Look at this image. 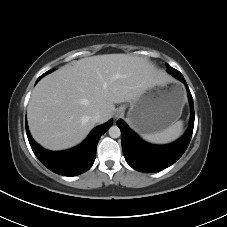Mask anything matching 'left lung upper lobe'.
Instances as JSON below:
<instances>
[{
    "label": "left lung upper lobe",
    "mask_w": 227,
    "mask_h": 227,
    "mask_svg": "<svg viewBox=\"0 0 227 227\" xmlns=\"http://www.w3.org/2000/svg\"><path fill=\"white\" fill-rule=\"evenodd\" d=\"M167 68H168V71L171 72L172 70H176L174 68H172L170 65L166 64Z\"/></svg>",
    "instance_id": "5c2ea615"
}]
</instances>
